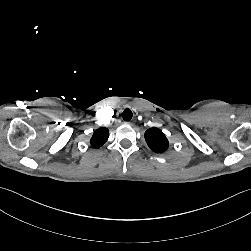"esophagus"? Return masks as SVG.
Instances as JSON below:
<instances>
[{
  "label": "esophagus",
  "instance_id": "34e87169",
  "mask_svg": "<svg viewBox=\"0 0 251 251\" xmlns=\"http://www.w3.org/2000/svg\"><path fill=\"white\" fill-rule=\"evenodd\" d=\"M128 124H132V122H127Z\"/></svg>",
  "mask_w": 251,
  "mask_h": 251
}]
</instances>
